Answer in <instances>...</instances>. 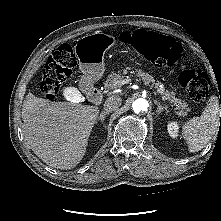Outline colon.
Wrapping results in <instances>:
<instances>
[{"label": "colon", "mask_w": 221, "mask_h": 221, "mask_svg": "<svg viewBox=\"0 0 221 221\" xmlns=\"http://www.w3.org/2000/svg\"><path fill=\"white\" fill-rule=\"evenodd\" d=\"M118 41L122 45H132L145 59L162 68L176 66L182 54V47L175 39L144 29L123 32L118 36ZM76 63L77 59L70 44L63 43L52 51L45 64L41 81V91L46 99L56 98L60 86L72 74ZM180 83L194 101L206 100L210 79L204 71L183 70Z\"/></svg>", "instance_id": "1"}]
</instances>
